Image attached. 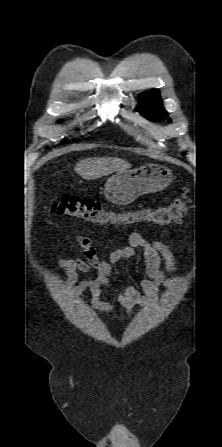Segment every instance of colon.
Segmentation results:
<instances>
[{"label":"colon","mask_w":222,"mask_h":447,"mask_svg":"<svg viewBox=\"0 0 222 447\" xmlns=\"http://www.w3.org/2000/svg\"><path fill=\"white\" fill-rule=\"evenodd\" d=\"M188 210L187 193L165 207L152 209L141 207L117 212L106 204L86 197L64 196L52 205L57 216L75 218L83 223L97 226L134 224L137 222L167 226L180 223Z\"/></svg>","instance_id":"5ec220e1"}]
</instances>
